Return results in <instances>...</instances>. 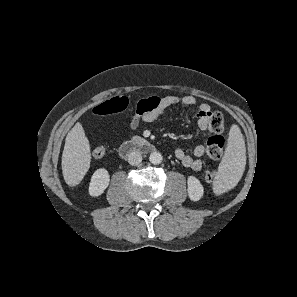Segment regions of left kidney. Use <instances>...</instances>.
I'll return each mask as SVG.
<instances>
[{
	"label": "left kidney",
	"mask_w": 297,
	"mask_h": 297,
	"mask_svg": "<svg viewBox=\"0 0 297 297\" xmlns=\"http://www.w3.org/2000/svg\"><path fill=\"white\" fill-rule=\"evenodd\" d=\"M188 184V196L192 201H198L201 199L204 193V188L201 182L194 176H189L187 179Z\"/></svg>",
	"instance_id": "1"
}]
</instances>
